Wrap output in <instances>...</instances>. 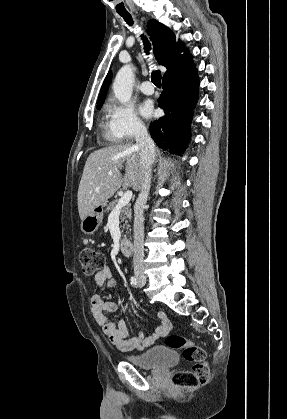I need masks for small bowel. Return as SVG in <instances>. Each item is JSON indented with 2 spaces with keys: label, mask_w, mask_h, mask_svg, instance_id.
I'll use <instances>...</instances> for the list:
<instances>
[{
  "label": "small bowel",
  "mask_w": 287,
  "mask_h": 419,
  "mask_svg": "<svg viewBox=\"0 0 287 419\" xmlns=\"http://www.w3.org/2000/svg\"><path fill=\"white\" fill-rule=\"evenodd\" d=\"M95 284L98 287L108 283L114 285V280L110 268L105 267L95 275ZM91 313L95 322L101 327L103 333L109 341L121 351H140L153 345L158 340L166 337L172 328L167 315L160 311L157 318L160 325L151 335L145 336L140 333L137 337L129 338V328L123 319L117 324L111 322L105 315L106 312H116L119 308L116 302H105L99 295L94 294L90 298Z\"/></svg>",
  "instance_id": "small-bowel-1"
}]
</instances>
